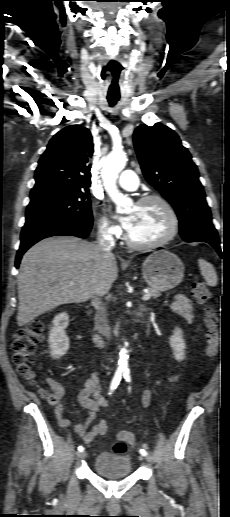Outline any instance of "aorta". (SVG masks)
<instances>
[{"instance_id": "obj_1", "label": "aorta", "mask_w": 230, "mask_h": 517, "mask_svg": "<svg viewBox=\"0 0 230 517\" xmlns=\"http://www.w3.org/2000/svg\"><path fill=\"white\" fill-rule=\"evenodd\" d=\"M126 163L127 156L125 152L121 150H113L108 154L101 173L104 188L119 210L128 201V199L119 192L116 185L118 174L124 169ZM128 358V350L124 347L119 353V370L125 371L128 369Z\"/></svg>"}]
</instances>
